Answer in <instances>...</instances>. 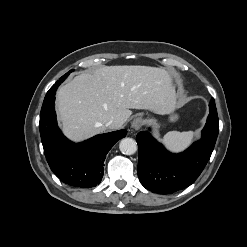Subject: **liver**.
<instances>
[{
  "mask_svg": "<svg viewBox=\"0 0 247 247\" xmlns=\"http://www.w3.org/2000/svg\"><path fill=\"white\" fill-rule=\"evenodd\" d=\"M175 102L169 73L150 66H104L76 76L56 93L63 133L74 142L105 132L110 120L120 128L130 109L164 113Z\"/></svg>",
  "mask_w": 247,
  "mask_h": 247,
  "instance_id": "6515ba94",
  "label": "liver"
}]
</instances>
